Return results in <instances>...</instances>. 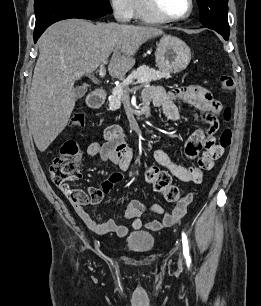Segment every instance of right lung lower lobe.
Wrapping results in <instances>:
<instances>
[{
  "label": "right lung lower lobe",
  "instance_id": "98d812e1",
  "mask_svg": "<svg viewBox=\"0 0 261 306\" xmlns=\"http://www.w3.org/2000/svg\"><path fill=\"white\" fill-rule=\"evenodd\" d=\"M34 11L36 24L34 30V42L36 43L42 33L53 23L70 18L95 19L106 15L108 12L72 6L66 4L35 2Z\"/></svg>",
  "mask_w": 261,
  "mask_h": 306
}]
</instances>
